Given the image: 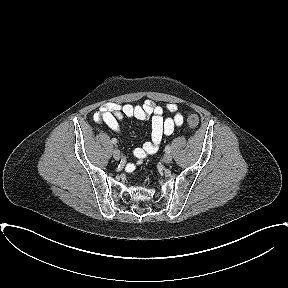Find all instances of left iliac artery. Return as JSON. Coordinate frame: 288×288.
Instances as JSON below:
<instances>
[{
	"mask_svg": "<svg viewBox=\"0 0 288 288\" xmlns=\"http://www.w3.org/2000/svg\"><path fill=\"white\" fill-rule=\"evenodd\" d=\"M170 151H171V146H170V145H167V146L165 147V152H166V153H170Z\"/></svg>",
	"mask_w": 288,
	"mask_h": 288,
	"instance_id": "1",
	"label": "left iliac artery"
}]
</instances>
